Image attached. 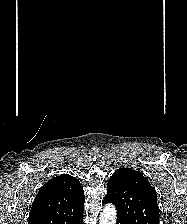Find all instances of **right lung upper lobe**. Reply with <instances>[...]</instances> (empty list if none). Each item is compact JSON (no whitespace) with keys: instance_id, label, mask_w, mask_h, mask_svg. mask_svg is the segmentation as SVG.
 <instances>
[{"instance_id":"obj_1","label":"right lung upper lobe","mask_w":187,"mask_h":224,"mask_svg":"<svg viewBox=\"0 0 187 224\" xmlns=\"http://www.w3.org/2000/svg\"><path fill=\"white\" fill-rule=\"evenodd\" d=\"M85 201L80 182L62 174L45 183L39 190L28 224H70L83 216Z\"/></svg>"}]
</instances>
